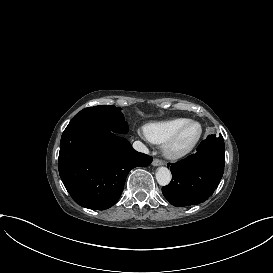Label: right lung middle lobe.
<instances>
[{
  "mask_svg": "<svg viewBox=\"0 0 273 273\" xmlns=\"http://www.w3.org/2000/svg\"><path fill=\"white\" fill-rule=\"evenodd\" d=\"M120 110L115 106L106 105L88 107L77 113L67 127L88 124L124 134L128 132V124Z\"/></svg>",
  "mask_w": 273,
  "mask_h": 273,
  "instance_id": "obj_1",
  "label": "right lung middle lobe"
}]
</instances>
